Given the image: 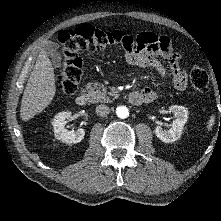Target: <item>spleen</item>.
I'll return each instance as SVG.
<instances>
[{"mask_svg": "<svg viewBox=\"0 0 221 221\" xmlns=\"http://www.w3.org/2000/svg\"><path fill=\"white\" fill-rule=\"evenodd\" d=\"M214 122H215V117L211 116V118L209 120L208 130L211 129V127L213 126Z\"/></svg>", "mask_w": 221, "mask_h": 221, "instance_id": "1", "label": "spleen"}]
</instances>
